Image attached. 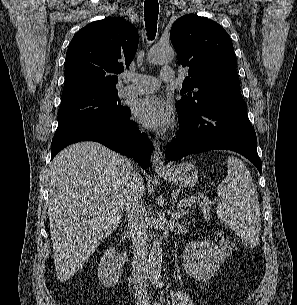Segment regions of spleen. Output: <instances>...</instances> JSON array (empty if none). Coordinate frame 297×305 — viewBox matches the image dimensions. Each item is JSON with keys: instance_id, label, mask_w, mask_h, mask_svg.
I'll list each match as a JSON object with an SVG mask.
<instances>
[{"instance_id": "spleen-1", "label": "spleen", "mask_w": 297, "mask_h": 305, "mask_svg": "<svg viewBox=\"0 0 297 305\" xmlns=\"http://www.w3.org/2000/svg\"><path fill=\"white\" fill-rule=\"evenodd\" d=\"M227 163V177L217 188L221 202L216 207V214L247 247L254 248L261 229L257 191L249 170L240 159L229 156Z\"/></svg>"}]
</instances>
